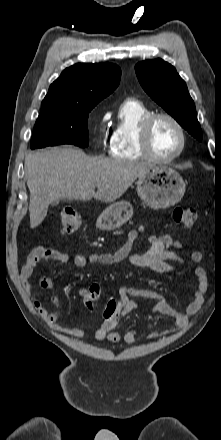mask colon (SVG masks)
<instances>
[{
	"mask_svg": "<svg viewBox=\"0 0 221 440\" xmlns=\"http://www.w3.org/2000/svg\"><path fill=\"white\" fill-rule=\"evenodd\" d=\"M173 219L178 224L184 227H192L197 220V212L194 208L188 206H178L173 211ZM61 232L69 234L74 232L82 225V217L78 211L73 208H63L60 212ZM100 297V287L98 284H93L90 287L89 294L85 301V306L88 309L93 308L94 302ZM118 307V300L116 297H109L101 306L100 312L105 321H112L114 312Z\"/></svg>",
	"mask_w": 221,
	"mask_h": 440,
	"instance_id": "1",
	"label": "colon"
}]
</instances>
